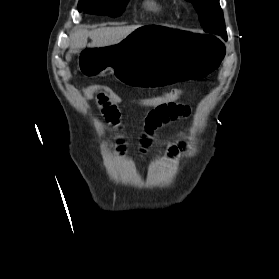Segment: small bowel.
I'll return each mask as SVG.
<instances>
[{
  "label": "small bowel",
  "instance_id": "small-bowel-1",
  "mask_svg": "<svg viewBox=\"0 0 279 279\" xmlns=\"http://www.w3.org/2000/svg\"><path fill=\"white\" fill-rule=\"evenodd\" d=\"M95 99L107 122L110 123L117 132H120L122 130V126L120 123L121 113L118 105L100 97ZM190 113L191 108L188 105L178 102L170 105L153 107L152 110L147 114L144 121L143 131L140 138V155L146 153L147 149L151 145L152 134L158 128L170 121L177 120L181 117H187L190 115ZM183 148V144L171 145L167 151V158H174ZM117 151L121 154L124 153L125 144L123 139L118 140Z\"/></svg>",
  "mask_w": 279,
  "mask_h": 279
}]
</instances>
